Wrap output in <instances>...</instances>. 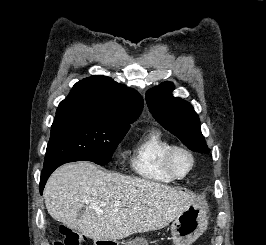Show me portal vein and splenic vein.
<instances>
[{"instance_id": "portal-vein-and-splenic-vein-1", "label": "portal vein and splenic vein", "mask_w": 266, "mask_h": 245, "mask_svg": "<svg viewBox=\"0 0 266 245\" xmlns=\"http://www.w3.org/2000/svg\"><path fill=\"white\" fill-rule=\"evenodd\" d=\"M92 209H94V211H97V213H102L101 209H99L98 205H96V203H93V205H91Z\"/></svg>"}]
</instances>
